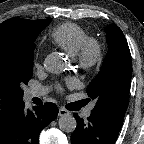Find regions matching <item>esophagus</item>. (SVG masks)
<instances>
[{
    "mask_svg": "<svg viewBox=\"0 0 144 144\" xmlns=\"http://www.w3.org/2000/svg\"><path fill=\"white\" fill-rule=\"evenodd\" d=\"M70 112L64 108H60L59 109V112H58V116L62 117V116H66V115H69Z\"/></svg>",
    "mask_w": 144,
    "mask_h": 144,
    "instance_id": "34e87169",
    "label": "esophagus"
}]
</instances>
